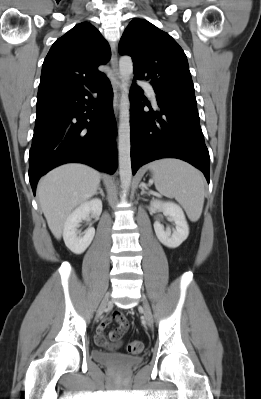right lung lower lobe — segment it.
Listing matches in <instances>:
<instances>
[{"label":"right lung lower lobe","mask_w":261,"mask_h":399,"mask_svg":"<svg viewBox=\"0 0 261 399\" xmlns=\"http://www.w3.org/2000/svg\"><path fill=\"white\" fill-rule=\"evenodd\" d=\"M91 92H97L98 98L94 99ZM115 135L113 91L107 77L38 102L29 154V181L34 195L39 178L67 162L85 163L113 174L117 167Z\"/></svg>","instance_id":"98d812e1"}]
</instances>
